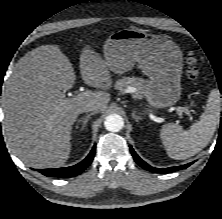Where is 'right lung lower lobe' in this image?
<instances>
[{
    "instance_id": "right-lung-lower-lobe-1",
    "label": "right lung lower lobe",
    "mask_w": 222,
    "mask_h": 219,
    "mask_svg": "<svg viewBox=\"0 0 222 219\" xmlns=\"http://www.w3.org/2000/svg\"><path fill=\"white\" fill-rule=\"evenodd\" d=\"M95 149L96 146L94 145L89 155L83 161L74 166L55 169H42L40 172L48 177L68 178L76 176L83 172L91 164L95 155Z\"/></svg>"
}]
</instances>
